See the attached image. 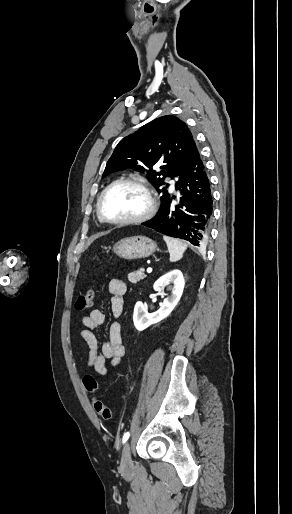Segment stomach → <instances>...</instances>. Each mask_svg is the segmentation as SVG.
<instances>
[{
  "mask_svg": "<svg viewBox=\"0 0 292 514\" xmlns=\"http://www.w3.org/2000/svg\"><path fill=\"white\" fill-rule=\"evenodd\" d=\"M157 250V244L145 238V236H132V238H123L113 246L114 254L125 260H137V258H148Z\"/></svg>",
  "mask_w": 292,
  "mask_h": 514,
  "instance_id": "stomach-1",
  "label": "stomach"
}]
</instances>
